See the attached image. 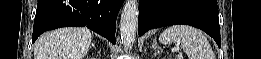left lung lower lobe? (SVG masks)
I'll use <instances>...</instances> for the list:
<instances>
[{"instance_id": "1", "label": "left lung lower lobe", "mask_w": 261, "mask_h": 59, "mask_svg": "<svg viewBox=\"0 0 261 59\" xmlns=\"http://www.w3.org/2000/svg\"><path fill=\"white\" fill-rule=\"evenodd\" d=\"M174 24L200 28L220 47L217 0H139V36L150 29Z\"/></svg>"}]
</instances>
